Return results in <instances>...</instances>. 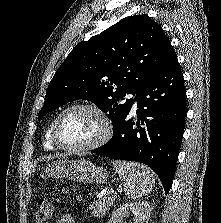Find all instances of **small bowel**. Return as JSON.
I'll return each instance as SVG.
<instances>
[{
	"label": "small bowel",
	"mask_w": 221,
	"mask_h": 223,
	"mask_svg": "<svg viewBox=\"0 0 221 223\" xmlns=\"http://www.w3.org/2000/svg\"><path fill=\"white\" fill-rule=\"evenodd\" d=\"M55 223H76L75 218L70 213H63Z\"/></svg>",
	"instance_id": "c3829d8e"
}]
</instances>
